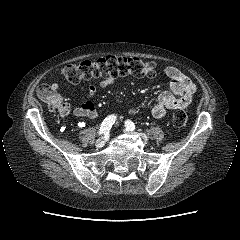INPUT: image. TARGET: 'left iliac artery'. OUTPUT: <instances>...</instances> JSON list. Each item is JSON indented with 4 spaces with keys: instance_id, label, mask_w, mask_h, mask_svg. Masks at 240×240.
<instances>
[{
    "instance_id": "left-iliac-artery-1",
    "label": "left iliac artery",
    "mask_w": 240,
    "mask_h": 240,
    "mask_svg": "<svg viewBox=\"0 0 240 240\" xmlns=\"http://www.w3.org/2000/svg\"><path fill=\"white\" fill-rule=\"evenodd\" d=\"M125 127L127 130H130V131L135 130V124L131 120L125 121Z\"/></svg>"
}]
</instances>
